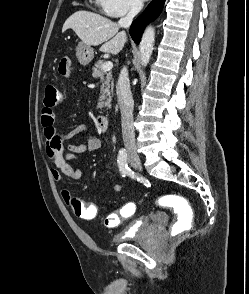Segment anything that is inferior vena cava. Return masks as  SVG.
<instances>
[{
  "mask_svg": "<svg viewBox=\"0 0 249 294\" xmlns=\"http://www.w3.org/2000/svg\"><path fill=\"white\" fill-rule=\"evenodd\" d=\"M143 4L141 0H134L128 14L121 18L118 25L123 28H128L134 17L139 13ZM116 93L118 103L121 111V125L124 146L127 148L135 147V134L133 126V107L134 101L130 90V82L128 77V70L126 67L120 72L118 82L116 85Z\"/></svg>",
  "mask_w": 249,
  "mask_h": 294,
  "instance_id": "602c4592",
  "label": "inferior vena cava"
}]
</instances>
